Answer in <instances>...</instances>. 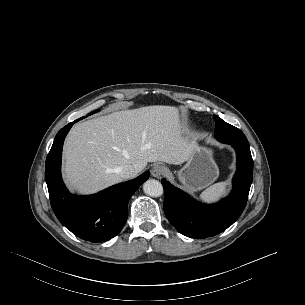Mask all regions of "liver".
<instances>
[{
    "instance_id": "1",
    "label": "liver",
    "mask_w": 305,
    "mask_h": 305,
    "mask_svg": "<svg viewBox=\"0 0 305 305\" xmlns=\"http://www.w3.org/2000/svg\"><path fill=\"white\" fill-rule=\"evenodd\" d=\"M176 107L154 105L113 112L76 124L63 149L64 177L87 194L123 179L116 170L132 165L135 177L148 162L181 164L196 146L183 137Z\"/></svg>"
}]
</instances>
